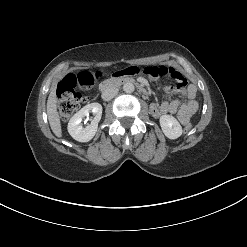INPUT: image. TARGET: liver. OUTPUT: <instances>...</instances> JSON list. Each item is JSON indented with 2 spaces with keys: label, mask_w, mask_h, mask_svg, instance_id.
Returning a JSON list of instances; mask_svg holds the SVG:
<instances>
[{
  "label": "liver",
  "mask_w": 247,
  "mask_h": 247,
  "mask_svg": "<svg viewBox=\"0 0 247 247\" xmlns=\"http://www.w3.org/2000/svg\"><path fill=\"white\" fill-rule=\"evenodd\" d=\"M47 115L50 127L57 137L62 136L61 122L57 112L56 87L52 86L47 100Z\"/></svg>",
  "instance_id": "liver-1"
}]
</instances>
